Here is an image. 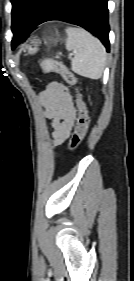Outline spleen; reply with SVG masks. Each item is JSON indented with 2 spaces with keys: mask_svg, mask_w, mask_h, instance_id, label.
I'll return each mask as SVG.
<instances>
[{
  "mask_svg": "<svg viewBox=\"0 0 134 281\" xmlns=\"http://www.w3.org/2000/svg\"><path fill=\"white\" fill-rule=\"evenodd\" d=\"M66 49L75 53L71 62L73 72L90 79H99L106 64L102 43L81 28L68 27Z\"/></svg>",
  "mask_w": 134,
  "mask_h": 281,
  "instance_id": "obj_1",
  "label": "spleen"
}]
</instances>
